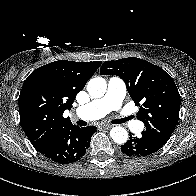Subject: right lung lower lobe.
<instances>
[{"label":"right lung lower lobe","mask_w":196,"mask_h":196,"mask_svg":"<svg viewBox=\"0 0 196 196\" xmlns=\"http://www.w3.org/2000/svg\"><path fill=\"white\" fill-rule=\"evenodd\" d=\"M96 127L71 125L36 150L45 157L60 163L76 162L84 156Z\"/></svg>","instance_id":"obj_1"}]
</instances>
